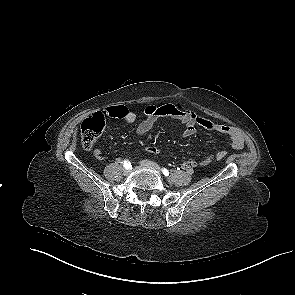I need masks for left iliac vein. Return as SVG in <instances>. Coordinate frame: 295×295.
Here are the masks:
<instances>
[{
	"mask_svg": "<svg viewBox=\"0 0 295 295\" xmlns=\"http://www.w3.org/2000/svg\"><path fill=\"white\" fill-rule=\"evenodd\" d=\"M140 164L141 166L148 167L155 170L160 175V172H161L160 167L156 163L149 160H143L140 162Z\"/></svg>",
	"mask_w": 295,
	"mask_h": 295,
	"instance_id": "obj_1",
	"label": "left iliac vein"
}]
</instances>
